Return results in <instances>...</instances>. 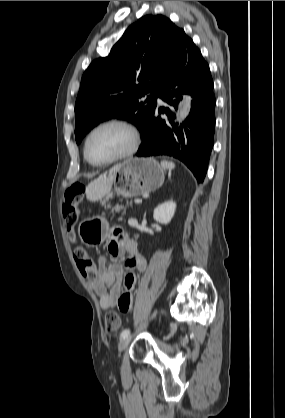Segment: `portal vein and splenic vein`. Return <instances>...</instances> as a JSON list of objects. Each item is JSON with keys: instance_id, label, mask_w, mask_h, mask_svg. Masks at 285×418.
Masks as SVG:
<instances>
[{"instance_id": "portal-vein-and-splenic-vein-1", "label": "portal vein and splenic vein", "mask_w": 285, "mask_h": 418, "mask_svg": "<svg viewBox=\"0 0 285 418\" xmlns=\"http://www.w3.org/2000/svg\"><path fill=\"white\" fill-rule=\"evenodd\" d=\"M140 202H142V200H141V199H137V200H135V203H140Z\"/></svg>"}]
</instances>
